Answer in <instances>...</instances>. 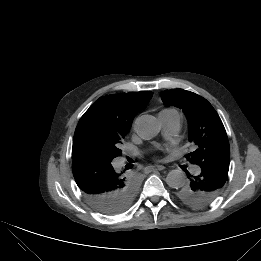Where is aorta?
I'll return each mask as SVG.
<instances>
[{
	"instance_id": "obj_1",
	"label": "aorta",
	"mask_w": 261,
	"mask_h": 261,
	"mask_svg": "<svg viewBox=\"0 0 261 261\" xmlns=\"http://www.w3.org/2000/svg\"><path fill=\"white\" fill-rule=\"evenodd\" d=\"M135 128L141 138L149 140L160 132L161 126L156 117L144 115L137 120ZM166 183L171 188H180L185 183V175L180 170H172L166 177Z\"/></svg>"
}]
</instances>
